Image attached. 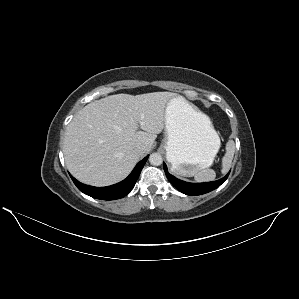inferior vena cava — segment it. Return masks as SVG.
Segmentation results:
<instances>
[{"label":"inferior vena cava","instance_id":"602c4592","mask_svg":"<svg viewBox=\"0 0 299 299\" xmlns=\"http://www.w3.org/2000/svg\"><path fill=\"white\" fill-rule=\"evenodd\" d=\"M135 152L138 153V154H142V153H144V146L141 145V144H138V145L135 147Z\"/></svg>","mask_w":299,"mask_h":299}]
</instances>
